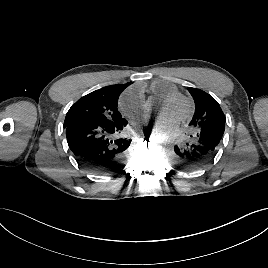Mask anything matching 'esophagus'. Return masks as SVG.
Segmentation results:
<instances>
[{"label": "esophagus", "instance_id": "34e87169", "mask_svg": "<svg viewBox=\"0 0 268 268\" xmlns=\"http://www.w3.org/2000/svg\"><path fill=\"white\" fill-rule=\"evenodd\" d=\"M138 133H139L140 135H143V131H139Z\"/></svg>", "mask_w": 268, "mask_h": 268}]
</instances>
